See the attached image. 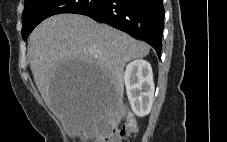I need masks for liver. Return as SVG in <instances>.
<instances>
[{"instance_id":"liver-1","label":"liver","mask_w":227,"mask_h":142,"mask_svg":"<svg viewBox=\"0 0 227 142\" xmlns=\"http://www.w3.org/2000/svg\"><path fill=\"white\" fill-rule=\"evenodd\" d=\"M150 46L128 34L78 14H58L41 22L29 38L30 68L46 105L74 133L93 126L122 103L126 63L148 55ZM61 61H92L101 78L95 88L76 93L52 81Z\"/></svg>"}]
</instances>
